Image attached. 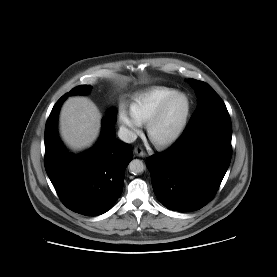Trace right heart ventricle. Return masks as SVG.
Wrapping results in <instances>:
<instances>
[{
	"instance_id": "e07e8e85",
	"label": "right heart ventricle",
	"mask_w": 277,
	"mask_h": 277,
	"mask_svg": "<svg viewBox=\"0 0 277 277\" xmlns=\"http://www.w3.org/2000/svg\"><path fill=\"white\" fill-rule=\"evenodd\" d=\"M176 91L171 87L154 86L136 94L129 106L131 116L139 124H146L157 107Z\"/></svg>"
}]
</instances>
